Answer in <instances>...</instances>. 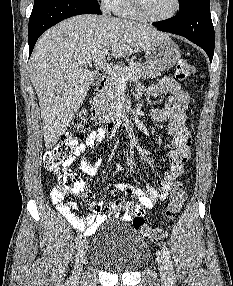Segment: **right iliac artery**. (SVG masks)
<instances>
[{"label":"right iliac artery","instance_id":"right-iliac-artery-1","mask_svg":"<svg viewBox=\"0 0 233 286\" xmlns=\"http://www.w3.org/2000/svg\"><path fill=\"white\" fill-rule=\"evenodd\" d=\"M81 239H82V235L78 234L76 239H75V248H77V246L80 244Z\"/></svg>","mask_w":233,"mask_h":286}]
</instances>
